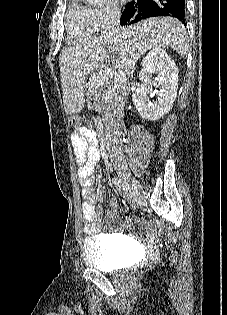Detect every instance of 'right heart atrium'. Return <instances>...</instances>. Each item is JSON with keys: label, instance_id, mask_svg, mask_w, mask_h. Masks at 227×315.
Masks as SVG:
<instances>
[{"label": "right heart atrium", "instance_id": "1", "mask_svg": "<svg viewBox=\"0 0 227 315\" xmlns=\"http://www.w3.org/2000/svg\"><path fill=\"white\" fill-rule=\"evenodd\" d=\"M100 29L112 25L120 15V7L115 0H108L105 4L94 9Z\"/></svg>", "mask_w": 227, "mask_h": 315}]
</instances>
